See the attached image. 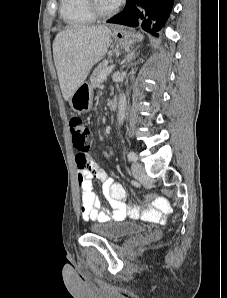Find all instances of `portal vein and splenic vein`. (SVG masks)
I'll return each mask as SVG.
<instances>
[{
    "mask_svg": "<svg viewBox=\"0 0 227 298\" xmlns=\"http://www.w3.org/2000/svg\"><path fill=\"white\" fill-rule=\"evenodd\" d=\"M113 68L114 65H111L103 71V73L98 78L99 83H102L107 78V76L112 72Z\"/></svg>",
    "mask_w": 227,
    "mask_h": 298,
    "instance_id": "portal-vein-and-splenic-vein-1",
    "label": "portal vein and splenic vein"
}]
</instances>
